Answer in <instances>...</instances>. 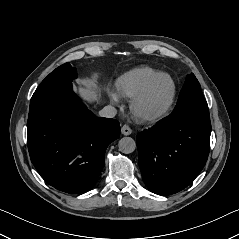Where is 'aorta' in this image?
Instances as JSON below:
<instances>
[{
	"label": "aorta",
	"mask_w": 239,
	"mask_h": 239,
	"mask_svg": "<svg viewBox=\"0 0 239 239\" xmlns=\"http://www.w3.org/2000/svg\"><path fill=\"white\" fill-rule=\"evenodd\" d=\"M118 147L122 153L130 154L136 149V142L131 137H123L119 140Z\"/></svg>",
	"instance_id": "aorta-1"
}]
</instances>
